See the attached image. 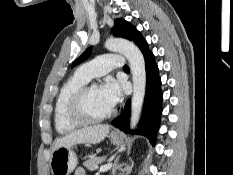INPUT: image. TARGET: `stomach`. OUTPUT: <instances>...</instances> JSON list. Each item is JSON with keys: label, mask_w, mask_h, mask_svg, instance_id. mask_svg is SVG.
<instances>
[{"label": "stomach", "mask_w": 233, "mask_h": 175, "mask_svg": "<svg viewBox=\"0 0 233 175\" xmlns=\"http://www.w3.org/2000/svg\"><path fill=\"white\" fill-rule=\"evenodd\" d=\"M109 139L114 145L123 144L121 134H110ZM77 164V157L72 146H62L52 152L50 168L53 175H70Z\"/></svg>", "instance_id": "1"}]
</instances>
